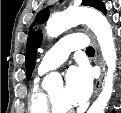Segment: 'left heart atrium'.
Listing matches in <instances>:
<instances>
[{
  "instance_id": "obj_1",
  "label": "left heart atrium",
  "mask_w": 121,
  "mask_h": 113,
  "mask_svg": "<svg viewBox=\"0 0 121 113\" xmlns=\"http://www.w3.org/2000/svg\"><path fill=\"white\" fill-rule=\"evenodd\" d=\"M92 91V74L85 66L72 67L66 74L65 96L71 105L87 101Z\"/></svg>"
}]
</instances>
